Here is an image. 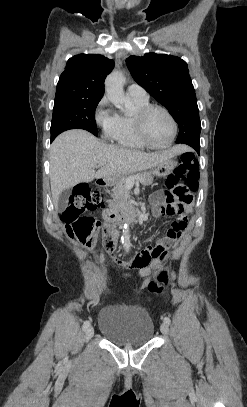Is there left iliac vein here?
Listing matches in <instances>:
<instances>
[{
  "mask_svg": "<svg viewBox=\"0 0 247 407\" xmlns=\"http://www.w3.org/2000/svg\"><path fill=\"white\" fill-rule=\"evenodd\" d=\"M160 330H161L162 334L168 335V332H169V326H168V324H167L166 322H163V323L161 324V326H160Z\"/></svg>",
  "mask_w": 247,
  "mask_h": 407,
  "instance_id": "left-iliac-vein-1",
  "label": "left iliac vein"
}]
</instances>
